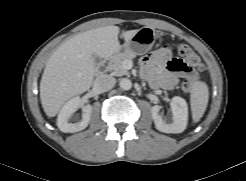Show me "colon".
Listing matches in <instances>:
<instances>
[{
  "instance_id": "colon-1",
  "label": "colon",
  "mask_w": 246,
  "mask_h": 181,
  "mask_svg": "<svg viewBox=\"0 0 246 181\" xmlns=\"http://www.w3.org/2000/svg\"><path fill=\"white\" fill-rule=\"evenodd\" d=\"M177 51L187 66L188 74L182 83V89L188 93L198 79V72L203 70V63L200 57L186 44H180Z\"/></svg>"
}]
</instances>
